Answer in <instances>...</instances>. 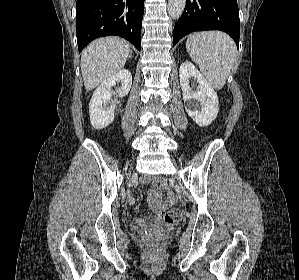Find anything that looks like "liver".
<instances>
[{
	"label": "liver",
	"instance_id": "1",
	"mask_svg": "<svg viewBox=\"0 0 299 280\" xmlns=\"http://www.w3.org/2000/svg\"><path fill=\"white\" fill-rule=\"evenodd\" d=\"M131 53L129 44L117 37L93 41L81 57L85 89H94L105 79L122 70Z\"/></svg>",
	"mask_w": 299,
	"mask_h": 280
}]
</instances>
